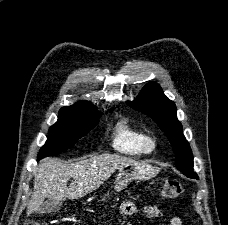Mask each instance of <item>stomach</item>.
<instances>
[{
    "label": "stomach",
    "instance_id": "0dacf381",
    "mask_svg": "<svg viewBox=\"0 0 228 225\" xmlns=\"http://www.w3.org/2000/svg\"><path fill=\"white\" fill-rule=\"evenodd\" d=\"M129 169L124 171V169H118L115 187H114V195L125 189L129 183L132 181H144V179H151L154 175V171H152L153 167L150 165H145V163H135V165H128ZM109 193L105 195L104 199L108 197ZM103 199V201H104Z\"/></svg>",
    "mask_w": 228,
    "mask_h": 225
}]
</instances>
